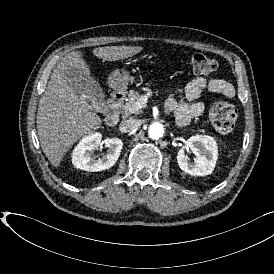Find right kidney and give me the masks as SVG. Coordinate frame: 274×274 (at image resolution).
<instances>
[{"label": "right kidney", "mask_w": 274, "mask_h": 274, "mask_svg": "<svg viewBox=\"0 0 274 274\" xmlns=\"http://www.w3.org/2000/svg\"><path fill=\"white\" fill-rule=\"evenodd\" d=\"M102 145L107 152L98 160L93 159L94 151ZM123 149V141L117 137L101 140V134L95 133L81 140L73 152V164L84 171L99 172L111 168L118 161Z\"/></svg>", "instance_id": "1"}]
</instances>
